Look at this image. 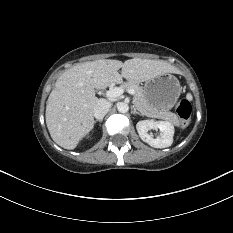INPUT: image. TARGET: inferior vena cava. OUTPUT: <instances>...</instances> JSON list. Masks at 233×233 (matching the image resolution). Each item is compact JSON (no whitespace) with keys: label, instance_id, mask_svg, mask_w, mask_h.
Listing matches in <instances>:
<instances>
[{"label":"inferior vena cava","instance_id":"602c4592","mask_svg":"<svg viewBox=\"0 0 233 233\" xmlns=\"http://www.w3.org/2000/svg\"><path fill=\"white\" fill-rule=\"evenodd\" d=\"M111 108V103L105 99H99L94 106L93 115L97 120H101Z\"/></svg>","mask_w":233,"mask_h":233}]
</instances>
